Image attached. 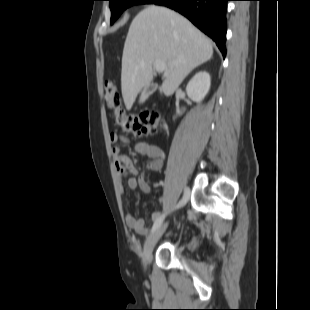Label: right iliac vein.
<instances>
[{"label": "right iliac vein", "mask_w": 310, "mask_h": 310, "mask_svg": "<svg viewBox=\"0 0 310 310\" xmlns=\"http://www.w3.org/2000/svg\"><path fill=\"white\" fill-rule=\"evenodd\" d=\"M165 229H166V224H163L155 232H153L149 236V238L146 240L144 248H143V253H142V265L144 269H147L150 263L153 249L155 245L157 244L158 240L160 239V237L162 236V234L164 233Z\"/></svg>", "instance_id": "obj_1"}]
</instances>
